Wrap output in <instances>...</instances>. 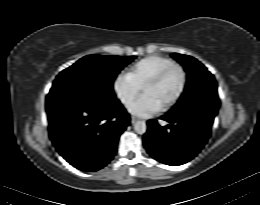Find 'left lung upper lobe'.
<instances>
[{"label":"left lung upper lobe","instance_id":"left-lung-upper-lobe-1","mask_svg":"<svg viewBox=\"0 0 260 205\" xmlns=\"http://www.w3.org/2000/svg\"><path fill=\"white\" fill-rule=\"evenodd\" d=\"M172 57L185 68L187 84L182 96L169 113L195 112L214 118L220 105L214 76L191 56L173 53Z\"/></svg>","mask_w":260,"mask_h":205}]
</instances>
